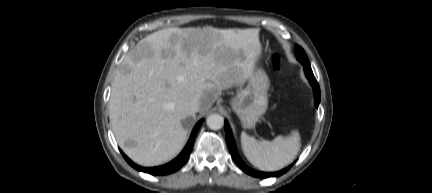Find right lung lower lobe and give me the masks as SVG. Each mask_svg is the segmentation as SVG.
Segmentation results:
<instances>
[{"label":"right lung lower lobe","mask_w":432,"mask_h":193,"mask_svg":"<svg viewBox=\"0 0 432 193\" xmlns=\"http://www.w3.org/2000/svg\"><path fill=\"white\" fill-rule=\"evenodd\" d=\"M202 121L203 120H200L196 124V126L194 127V129L191 133V136H190L188 143L184 147L183 151L178 155V157L175 158L170 163H167L163 166L152 167V168H143V167H140V166L136 165L135 163H133L122 151H121V153H122L123 157L126 159V161L133 168H135L139 171H143V172L149 173L151 175H164V174L173 173V172L177 171L178 169H180L182 167V165L186 162L187 158L189 157V155L192 151V148H193L195 135H196Z\"/></svg>","instance_id":"98d812e1"}]
</instances>
